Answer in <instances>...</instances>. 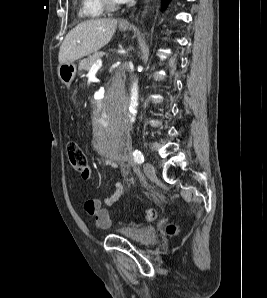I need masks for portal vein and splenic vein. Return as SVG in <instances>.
<instances>
[{
    "mask_svg": "<svg viewBox=\"0 0 267 298\" xmlns=\"http://www.w3.org/2000/svg\"><path fill=\"white\" fill-rule=\"evenodd\" d=\"M101 67H102V60L101 59H98L92 65V69H96V70L100 69Z\"/></svg>",
    "mask_w": 267,
    "mask_h": 298,
    "instance_id": "1",
    "label": "portal vein and splenic vein"
}]
</instances>
